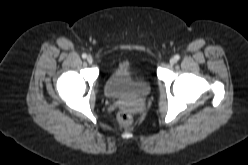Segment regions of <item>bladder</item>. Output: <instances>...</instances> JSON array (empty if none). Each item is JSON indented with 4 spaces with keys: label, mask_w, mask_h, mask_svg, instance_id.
Returning <instances> with one entry per match:
<instances>
[{
    "label": "bladder",
    "mask_w": 248,
    "mask_h": 165,
    "mask_svg": "<svg viewBox=\"0 0 248 165\" xmlns=\"http://www.w3.org/2000/svg\"><path fill=\"white\" fill-rule=\"evenodd\" d=\"M104 90L107 97L114 100L145 98L151 93V83L139 76L129 62L122 61L107 76Z\"/></svg>",
    "instance_id": "31cf9c89"
}]
</instances>
